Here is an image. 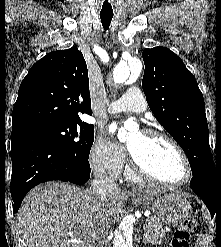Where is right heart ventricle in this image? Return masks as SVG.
I'll return each mask as SVG.
<instances>
[{
    "label": "right heart ventricle",
    "instance_id": "right-heart-ventricle-1",
    "mask_svg": "<svg viewBox=\"0 0 221 247\" xmlns=\"http://www.w3.org/2000/svg\"><path fill=\"white\" fill-rule=\"evenodd\" d=\"M125 177L127 180L132 181V182L141 181V178L137 176L130 167H127L125 169Z\"/></svg>",
    "mask_w": 221,
    "mask_h": 247
}]
</instances>
